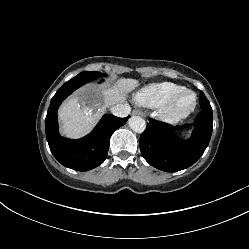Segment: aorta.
<instances>
[{"instance_id":"762f6f07","label":"aorta","mask_w":249,"mask_h":249,"mask_svg":"<svg viewBox=\"0 0 249 249\" xmlns=\"http://www.w3.org/2000/svg\"><path fill=\"white\" fill-rule=\"evenodd\" d=\"M129 127L136 133H142L146 128V122L142 117L132 116L128 120Z\"/></svg>"}]
</instances>
